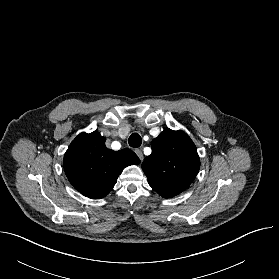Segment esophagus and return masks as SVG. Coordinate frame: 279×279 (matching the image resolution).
Returning <instances> with one entry per match:
<instances>
[{
    "label": "esophagus",
    "mask_w": 279,
    "mask_h": 279,
    "mask_svg": "<svg viewBox=\"0 0 279 279\" xmlns=\"http://www.w3.org/2000/svg\"><path fill=\"white\" fill-rule=\"evenodd\" d=\"M135 153L137 154V156L139 157V159H140L141 161H143L144 156H143L142 150H141V149H136V150H135Z\"/></svg>",
    "instance_id": "esophagus-1"
}]
</instances>
